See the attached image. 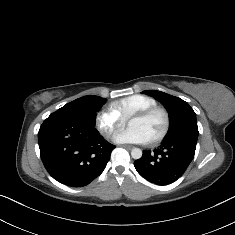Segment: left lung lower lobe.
<instances>
[{"instance_id":"1","label":"left lung lower lobe","mask_w":235,"mask_h":235,"mask_svg":"<svg viewBox=\"0 0 235 235\" xmlns=\"http://www.w3.org/2000/svg\"><path fill=\"white\" fill-rule=\"evenodd\" d=\"M196 143L187 139L165 140L153 152L144 150L134 166L142 177L154 184L172 183L182 176L193 160Z\"/></svg>"}]
</instances>
